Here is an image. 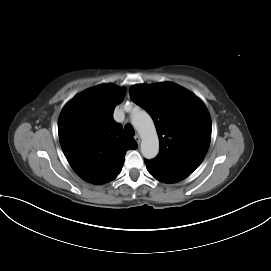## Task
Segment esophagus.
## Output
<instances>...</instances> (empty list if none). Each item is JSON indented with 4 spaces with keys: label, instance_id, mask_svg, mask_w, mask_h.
<instances>
[{
    "label": "esophagus",
    "instance_id": "34e87169",
    "mask_svg": "<svg viewBox=\"0 0 271 271\" xmlns=\"http://www.w3.org/2000/svg\"><path fill=\"white\" fill-rule=\"evenodd\" d=\"M134 139L136 140V142L139 144L140 143V141H141V138H140V136L138 135V134H136L135 136H134Z\"/></svg>",
    "mask_w": 271,
    "mask_h": 271
}]
</instances>
